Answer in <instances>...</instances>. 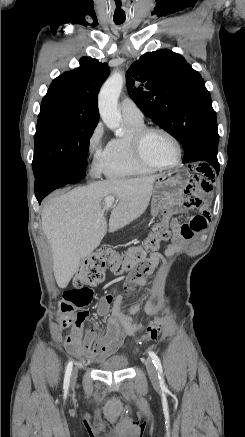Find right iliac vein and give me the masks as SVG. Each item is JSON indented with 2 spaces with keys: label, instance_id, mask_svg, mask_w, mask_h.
<instances>
[{
  "label": "right iliac vein",
  "instance_id": "1",
  "mask_svg": "<svg viewBox=\"0 0 245 437\" xmlns=\"http://www.w3.org/2000/svg\"><path fill=\"white\" fill-rule=\"evenodd\" d=\"M77 374H78V368L75 367V369L73 370V373H72V378H71V383L72 384H74L76 382Z\"/></svg>",
  "mask_w": 245,
  "mask_h": 437
}]
</instances>
